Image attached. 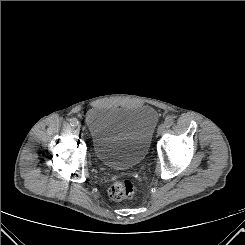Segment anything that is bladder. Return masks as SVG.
I'll return each instance as SVG.
<instances>
[{
    "mask_svg": "<svg viewBox=\"0 0 245 245\" xmlns=\"http://www.w3.org/2000/svg\"><path fill=\"white\" fill-rule=\"evenodd\" d=\"M85 122L96 158L108 168L124 170L145 158L158 114L149 105L98 106L87 112Z\"/></svg>",
    "mask_w": 245,
    "mask_h": 245,
    "instance_id": "31cf9c89",
    "label": "bladder"
}]
</instances>
